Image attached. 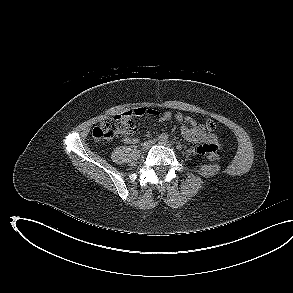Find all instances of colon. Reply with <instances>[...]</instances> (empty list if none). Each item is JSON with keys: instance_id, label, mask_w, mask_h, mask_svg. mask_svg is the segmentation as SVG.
<instances>
[{"instance_id": "obj_1", "label": "colon", "mask_w": 293, "mask_h": 293, "mask_svg": "<svg viewBox=\"0 0 293 293\" xmlns=\"http://www.w3.org/2000/svg\"><path fill=\"white\" fill-rule=\"evenodd\" d=\"M135 131L136 126L132 120L123 115H116L106 119L99 126L95 127L92 131V135L95 140H106L119 136L132 135ZM198 153L208 154V158L212 162H217L219 160V156L206 147H201Z\"/></svg>"}]
</instances>
